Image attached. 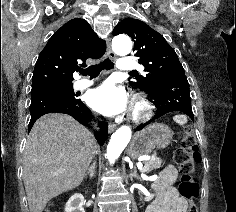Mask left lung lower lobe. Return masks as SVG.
Segmentation results:
<instances>
[{
	"label": "left lung lower lobe",
	"mask_w": 236,
	"mask_h": 212,
	"mask_svg": "<svg viewBox=\"0 0 236 212\" xmlns=\"http://www.w3.org/2000/svg\"><path fill=\"white\" fill-rule=\"evenodd\" d=\"M149 101L156 106V114L150 121L138 126V130L144 128L149 122L173 111L183 112L194 121L189 83L185 75L162 83L156 92L149 94Z\"/></svg>",
	"instance_id": "left-lung-lower-lobe-1"
}]
</instances>
